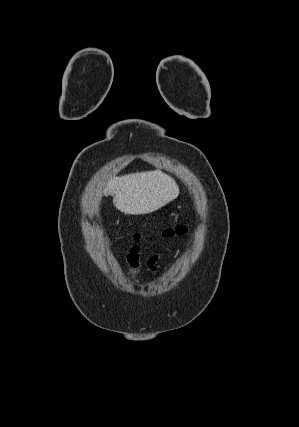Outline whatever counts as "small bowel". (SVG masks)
<instances>
[{"label": "small bowel", "instance_id": "c3829d8e", "mask_svg": "<svg viewBox=\"0 0 299 427\" xmlns=\"http://www.w3.org/2000/svg\"><path fill=\"white\" fill-rule=\"evenodd\" d=\"M157 261V257H153L149 261V265L151 268H154V264ZM127 262L132 270H136L140 263H139V247L134 246L131 248L127 255Z\"/></svg>", "mask_w": 299, "mask_h": 427}]
</instances>
